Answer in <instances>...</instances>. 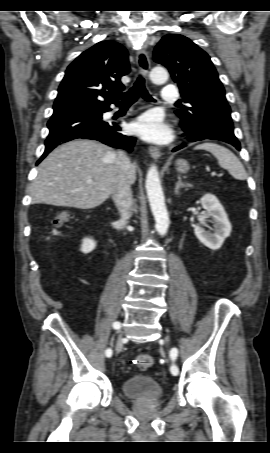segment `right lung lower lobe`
Returning <instances> with one entry per match:
<instances>
[{
  "instance_id": "1",
  "label": "right lung lower lobe",
  "mask_w": 270,
  "mask_h": 453,
  "mask_svg": "<svg viewBox=\"0 0 270 453\" xmlns=\"http://www.w3.org/2000/svg\"><path fill=\"white\" fill-rule=\"evenodd\" d=\"M110 110L105 106L53 114L47 124L50 133L45 141V152L37 164L57 145L76 138L94 139L131 151L135 138L123 135L117 124L102 120V114Z\"/></svg>"
}]
</instances>
